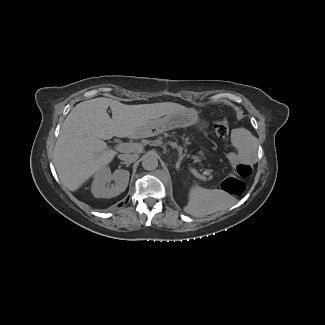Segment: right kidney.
Masks as SVG:
<instances>
[{"label":"right kidney","instance_id":"right-kidney-1","mask_svg":"<svg viewBox=\"0 0 325 325\" xmlns=\"http://www.w3.org/2000/svg\"><path fill=\"white\" fill-rule=\"evenodd\" d=\"M129 177L127 170L117 169L112 174L110 169L105 167L95 174L91 192L96 198L116 197L126 190Z\"/></svg>","mask_w":325,"mask_h":325}]
</instances>
